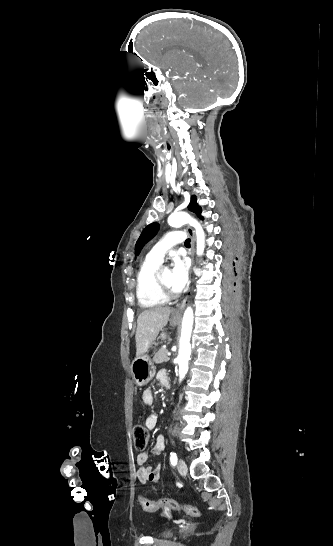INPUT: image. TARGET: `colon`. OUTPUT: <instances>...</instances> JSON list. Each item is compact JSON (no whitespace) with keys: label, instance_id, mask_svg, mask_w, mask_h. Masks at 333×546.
<instances>
[{"label":"colon","instance_id":"obj_1","mask_svg":"<svg viewBox=\"0 0 333 546\" xmlns=\"http://www.w3.org/2000/svg\"><path fill=\"white\" fill-rule=\"evenodd\" d=\"M149 438H150L149 431L144 426L136 425L133 428V443H134V447L137 450L145 449L146 446L148 445ZM139 503L142 509L146 512H154L160 508H166V509L183 511L192 517L201 516V511L197 507L180 503L168 498H162L159 500H149L143 496H140Z\"/></svg>","mask_w":333,"mask_h":546}]
</instances>
